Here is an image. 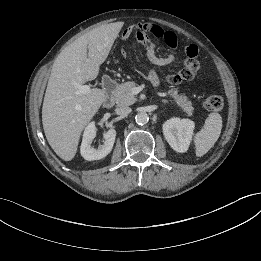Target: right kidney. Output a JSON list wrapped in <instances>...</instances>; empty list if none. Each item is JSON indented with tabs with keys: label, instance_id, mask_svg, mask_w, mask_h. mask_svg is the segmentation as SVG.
<instances>
[{
	"label": "right kidney",
	"instance_id": "obj_1",
	"mask_svg": "<svg viewBox=\"0 0 261 261\" xmlns=\"http://www.w3.org/2000/svg\"><path fill=\"white\" fill-rule=\"evenodd\" d=\"M96 136V126L94 122L89 123L83 134V139L80 147L81 156L88 161L99 160L107 156L114 145L116 138L115 129H109L104 133V144L99 146L98 149L92 148L91 144Z\"/></svg>",
	"mask_w": 261,
	"mask_h": 261
}]
</instances>
